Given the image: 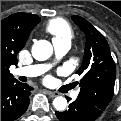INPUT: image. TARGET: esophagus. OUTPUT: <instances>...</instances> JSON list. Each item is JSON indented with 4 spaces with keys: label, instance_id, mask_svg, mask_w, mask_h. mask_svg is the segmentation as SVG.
Masks as SVG:
<instances>
[{
    "label": "esophagus",
    "instance_id": "esophagus-1",
    "mask_svg": "<svg viewBox=\"0 0 121 121\" xmlns=\"http://www.w3.org/2000/svg\"><path fill=\"white\" fill-rule=\"evenodd\" d=\"M46 94H48L51 97H56L58 94L52 91L45 90Z\"/></svg>",
    "mask_w": 121,
    "mask_h": 121
}]
</instances>
